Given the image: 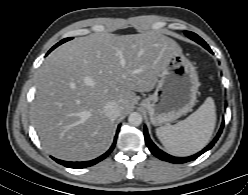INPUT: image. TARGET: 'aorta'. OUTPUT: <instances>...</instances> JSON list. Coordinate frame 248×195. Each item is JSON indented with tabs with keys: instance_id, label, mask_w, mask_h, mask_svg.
<instances>
[{
	"instance_id": "aorta-1",
	"label": "aorta",
	"mask_w": 248,
	"mask_h": 195,
	"mask_svg": "<svg viewBox=\"0 0 248 195\" xmlns=\"http://www.w3.org/2000/svg\"><path fill=\"white\" fill-rule=\"evenodd\" d=\"M142 120H143L142 115L140 113H138V112H133L128 117V122L132 126H139V125H141Z\"/></svg>"
}]
</instances>
